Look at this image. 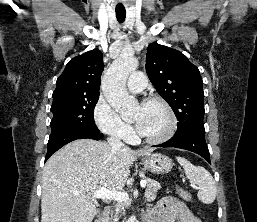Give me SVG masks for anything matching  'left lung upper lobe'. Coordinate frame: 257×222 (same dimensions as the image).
<instances>
[{
    "instance_id": "obj_1",
    "label": "left lung upper lobe",
    "mask_w": 257,
    "mask_h": 222,
    "mask_svg": "<svg viewBox=\"0 0 257 222\" xmlns=\"http://www.w3.org/2000/svg\"><path fill=\"white\" fill-rule=\"evenodd\" d=\"M146 71L179 121L175 135L205 133L203 81L199 69L181 52L152 43L147 48Z\"/></svg>"
}]
</instances>
